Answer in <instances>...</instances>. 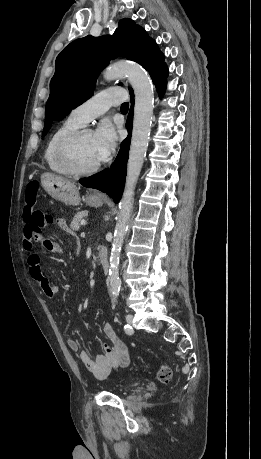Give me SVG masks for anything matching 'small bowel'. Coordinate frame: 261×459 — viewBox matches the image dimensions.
I'll use <instances>...</instances> for the list:
<instances>
[{"mask_svg":"<svg viewBox=\"0 0 261 459\" xmlns=\"http://www.w3.org/2000/svg\"><path fill=\"white\" fill-rule=\"evenodd\" d=\"M57 224L67 233L73 234L63 219H59ZM35 243H39L46 251H58L56 239L52 236L37 233L35 238H23V246L26 250H32ZM27 263L30 276L37 282L46 297L54 299L58 293V286L42 272L39 255L31 253ZM103 333L108 343L103 345V353L98 354L94 359H91L86 351H79V345L76 340L72 338L67 339L69 349L73 352L79 351L80 361L100 379L108 376L114 369L129 364L128 349L117 336L111 323L103 325Z\"/></svg>","mask_w":261,"mask_h":459,"instance_id":"small-bowel-1","label":"small bowel"}]
</instances>
